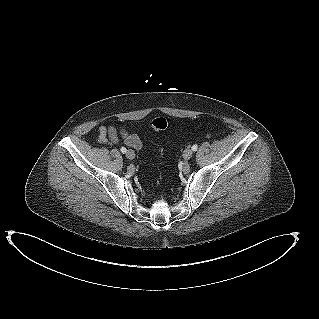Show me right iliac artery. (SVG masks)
<instances>
[{
  "instance_id": "82829eb1",
  "label": "right iliac artery",
  "mask_w": 319,
  "mask_h": 319,
  "mask_svg": "<svg viewBox=\"0 0 319 319\" xmlns=\"http://www.w3.org/2000/svg\"><path fill=\"white\" fill-rule=\"evenodd\" d=\"M120 150H121L122 153H126V151H127L125 147H121Z\"/></svg>"
}]
</instances>
